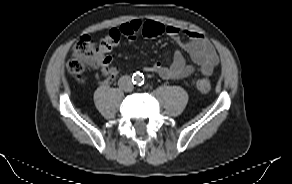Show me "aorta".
I'll return each instance as SVG.
<instances>
[{
  "label": "aorta",
  "mask_w": 292,
  "mask_h": 184,
  "mask_svg": "<svg viewBox=\"0 0 292 184\" xmlns=\"http://www.w3.org/2000/svg\"><path fill=\"white\" fill-rule=\"evenodd\" d=\"M140 80H141V77H140L139 75H137V76L135 77V81L138 83V82H140Z\"/></svg>",
  "instance_id": "762f6f07"
}]
</instances>
